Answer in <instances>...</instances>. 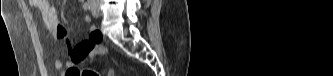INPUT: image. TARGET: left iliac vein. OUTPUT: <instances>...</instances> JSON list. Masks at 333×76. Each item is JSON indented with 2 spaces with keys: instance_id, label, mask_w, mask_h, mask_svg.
<instances>
[{
  "instance_id": "left-iliac-vein-1",
  "label": "left iliac vein",
  "mask_w": 333,
  "mask_h": 76,
  "mask_svg": "<svg viewBox=\"0 0 333 76\" xmlns=\"http://www.w3.org/2000/svg\"><path fill=\"white\" fill-rule=\"evenodd\" d=\"M92 14H93V16H95V17H97L98 14H99V11H98L97 8H95V6L92 8Z\"/></svg>"
}]
</instances>
